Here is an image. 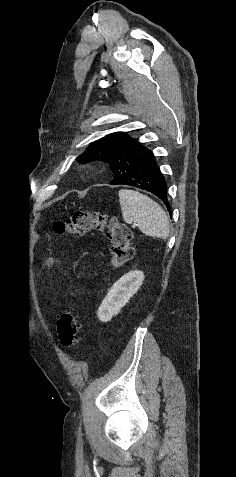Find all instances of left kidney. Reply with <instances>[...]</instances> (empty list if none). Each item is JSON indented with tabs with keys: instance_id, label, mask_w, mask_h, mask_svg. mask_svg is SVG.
<instances>
[{
	"instance_id": "5707ae66",
	"label": "left kidney",
	"mask_w": 236,
	"mask_h": 477,
	"mask_svg": "<svg viewBox=\"0 0 236 477\" xmlns=\"http://www.w3.org/2000/svg\"><path fill=\"white\" fill-rule=\"evenodd\" d=\"M143 280V272L135 270L128 272L115 282L98 309L99 320L108 322L117 315L130 298L137 293Z\"/></svg>"
}]
</instances>
